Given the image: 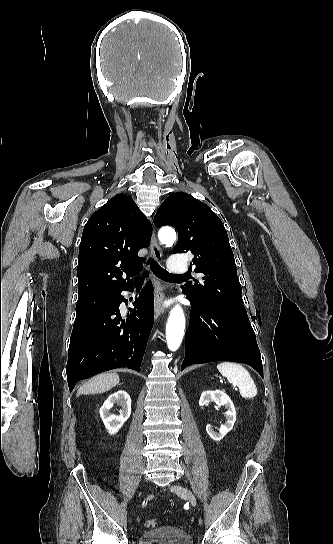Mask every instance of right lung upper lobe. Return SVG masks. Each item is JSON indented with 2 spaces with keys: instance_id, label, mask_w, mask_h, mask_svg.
<instances>
[{
  "instance_id": "1",
  "label": "right lung upper lobe",
  "mask_w": 333,
  "mask_h": 544,
  "mask_svg": "<svg viewBox=\"0 0 333 544\" xmlns=\"http://www.w3.org/2000/svg\"><path fill=\"white\" fill-rule=\"evenodd\" d=\"M151 235V223L130 196L118 194L93 213L79 247L78 301L116 295L128 286L141 269L138 251Z\"/></svg>"
}]
</instances>
